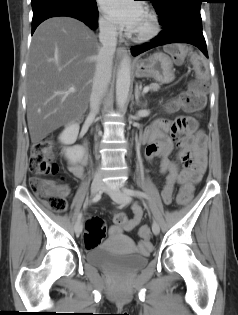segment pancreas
Returning a JSON list of instances; mask_svg holds the SVG:
<instances>
[{"mask_svg":"<svg viewBox=\"0 0 238 315\" xmlns=\"http://www.w3.org/2000/svg\"><path fill=\"white\" fill-rule=\"evenodd\" d=\"M150 89L152 91H158L160 89V84H158V83H151L150 84Z\"/></svg>","mask_w":238,"mask_h":315,"instance_id":"pancreas-1","label":"pancreas"}]
</instances>
